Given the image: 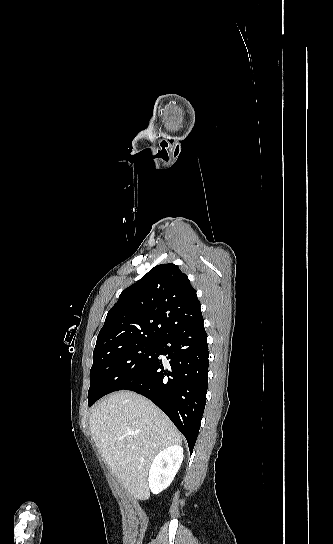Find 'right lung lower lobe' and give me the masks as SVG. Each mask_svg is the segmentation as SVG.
<instances>
[{
	"label": "right lung lower lobe",
	"instance_id": "obj_1",
	"mask_svg": "<svg viewBox=\"0 0 333 544\" xmlns=\"http://www.w3.org/2000/svg\"><path fill=\"white\" fill-rule=\"evenodd\" d=\"M203 321L200 315L161 337L154 359L121 389L137 392L156 404L185 436L190 453L199 433L208 386L209 351Z\"/></svg>",
	"mask_w": 333,
	"mask_h": 544
}]
</instances>
